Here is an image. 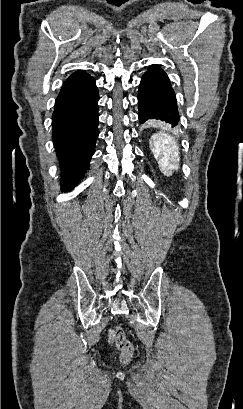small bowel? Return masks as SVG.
<instances>
[{
	"label": "small bowel",
	"mask_w": 243,
	"mask_h": 409,
	"mask_svg": "<svg viewBox=\"0 0 243 409\" xmlns=\"http://www.w3.org/2000/svg\"><path fill=\"white\" fill-rule=\"evenodd\" d=\"M108 341L111 345H114L115 343V338H114V331L110 330L108 334Z\"/></svg>",
	"instance_id": "obj_1"
}]
</instances>
